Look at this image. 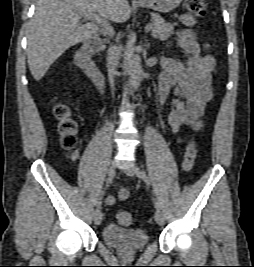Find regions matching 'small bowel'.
I'll return each mask as SVG.
<instances>
[{
	"label": "small bowel",
	"instance_id": "1",
	"mask_svg": "<svg viewBox=\"0 0 254 267\" xmlns=\"http://www.w3.org/2000/svg\"><path fill=\"white\" fill-rule=\"evenodd\" d=\"M185 28L177 36L182 49L189 55L187 63L163 56V71L159 78V101L164 104L172 93L170 101L169 124L174 133L183 126L197 131L202 126L205 109L212 100L211 79L215 73L216 61L213 55L202 54L208 51L209 44H201L193 31L195 18L182 14L178 18ZM130 196L128 187H122L117 197L108 194L107 205H114L118 200L125 201Z\"/></svg>",
	"mask_w": 254,
	"mask_h": 267
}]
</instances>
